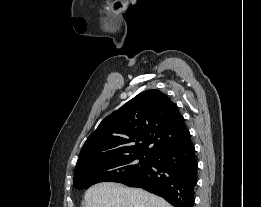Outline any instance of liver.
Listing matches in <instances>:
<instances>
[{"instance_id":"1","label":"liver","mask_w":261,"mask_h":207,"mask_svg":"<svg viewBox=\"0 0 261 207\" xmlns=\"http://www.w3.org/2000/svg\"><path fill=\"white\" fill-rule=\"evenodd\" d=\"M84 199L86 207H173L145 190L114 182L93 185L85 192Z\"/></svg>"}]
</instances>
